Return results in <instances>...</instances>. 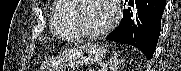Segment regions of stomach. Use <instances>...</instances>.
<instances>
[{
	"label": "stomach",
	"instance_id": "0dacf381",
	"mask_svg": "<svg viewBox=\"0 0 181 71\" xmlns=\"http://www.w3.org/2000/svg\"><path fill=\"white\" fill-rule=\"evenodd\" d=\"M106 53L105 47L98 44L85 43L77 47L65 51L62 54L61 61H58V66L46 67V71H55V69H62L61 64L67 63L69 66H80L99 62Z\"/></svg>",
	"mask_w": 181,
	"mask_h": 71
}]
</instances>
